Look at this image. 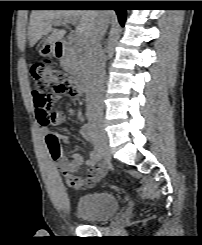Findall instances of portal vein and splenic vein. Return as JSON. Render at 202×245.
I'll list each match as a JSON object with an SVG mask.
<instances>
[{"label":"portal vein and splenic vein","mask_w":202,"mask_h":245,"mask_svg":"<svg viewBox=\"0 0 202 245\" xmlns=\"http://www.w3.org/2000/svg\"><path fill=\"white\" fill-rule=\"evenodd\" d=\"M67 23L75 25L76 24V19H66V20H63V21H57L56 25L59 26V25H62V24H67ZM74 42L77 45H82L84 43L83 36L80 33L77 32V34L74 37Z\"/></svg>","instance_id":"1"}]
</instances>
